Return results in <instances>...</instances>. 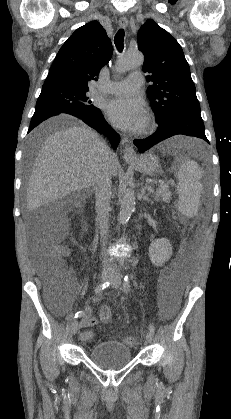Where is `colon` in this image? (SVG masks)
I'll return each mask as SVG.
<instances>
[{
	"instance_id": "5ec220e1",
	"label": "colon",
	"mask_w": 231,
	"mask_h": 419,
	"mask_svg": "<svg viewBox=\"0 0 231 419\" xmlns=\"http://www.w3.org/2000/svg\"><path fill=\"white\" fill-rule=\"evenodd\" d=\"M66 254L67 247L60 244L50 248L44 255L42 271L51 290L57 288L62 290L73 279V274L64 261ZM100 318L104 323H109L112 320V315L107 308H103L100 313ZM125 343L133 346L136 341L134 338H127Z\"/></svg>"
}]
</instances>
